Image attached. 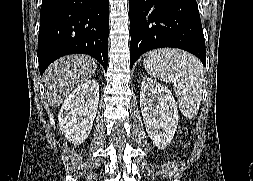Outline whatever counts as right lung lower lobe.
Instances as JSON below:
<instances>
[{
	"label": "right lung lower lobe",
	"mask_w": 253,
	"mask_h": 181,
	"mask_svg": "<svg viewBox=\"0 0 253 181\" xmlns=\"http://www.w3.org/2000/svg\"><path fill=\"white\" fill-rule=\"evenodd\" d=\"M109 0H43L38 61L41 75L56 59L88 54L107 71Z\"/></svg>",
	"instance_id": "obj_1"
}]
</instances>
